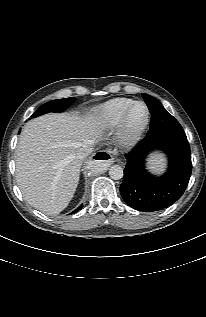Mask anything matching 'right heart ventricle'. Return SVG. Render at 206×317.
<instances>
[{"label":"right heart ventricle","mask_w":206,"mask_h":317,"mask_svg":"<svg viewBox=\"0 0 206 317\" xmlns=\"http://www.w3.org/2000/svg\"><path fill=\"white\" fill-rule=\"evenodd\" d=\"M134 101L129 98H114L94 109L93 116L101 124L112 127L118 124L123 113Z\"/></svg>","instance_id":"obj_1"}]
</instances>
